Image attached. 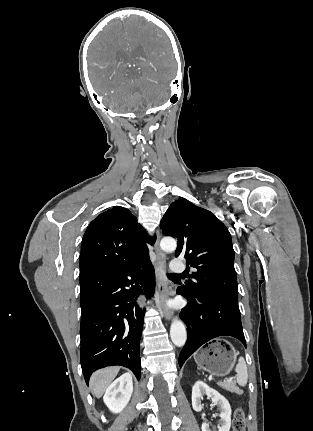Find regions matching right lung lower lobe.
<instances>
[{
	"instance_id": "obj_1",
	"label": "right lung lower lobe",
	"mask_w": 313,
	"mask_h": 431,
	"mask_svg": "<svg viewBox=\"0 0 313 431\" xmlns=\"http://www.w3.org/2000/svg\"><path fill=\"white\" fill-rule=\"evenodd\" d=\"M81 366L85 380L95 370L121 365L140 378L139 342L144 311L138 299L153 295L149 257L113 271L80 276Z\"/></svg>"
}]
</instances>
